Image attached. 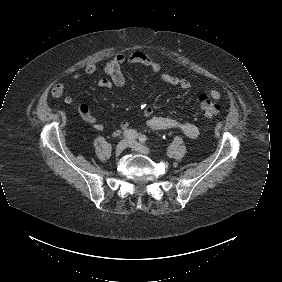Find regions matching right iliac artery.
Returning <instances> with one entry per match:
<instances>
[{
	"label": "right iliac artery",
	"instance_id": "obj_1",
	"mask_svg": "<svg viewBox=\"0 0 282 282\" xmlns=\"http://www.w3.org/2000/svg\"><path fill=\"white\" fill-rule=\"evenodd\" d=\"M123 136L129 139H136L138 137V133L134 129H128L123 133Z\"/></svg>",
	"mask_w": 282,
	"mask_h": 282
}]
</instances>
